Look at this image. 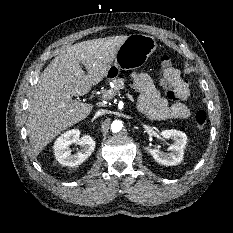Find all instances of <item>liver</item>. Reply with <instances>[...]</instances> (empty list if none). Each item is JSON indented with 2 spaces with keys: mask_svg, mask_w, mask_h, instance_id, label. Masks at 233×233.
Returning a JSON list of instances; mask_svg holds the SVG:
<instances>
[{
  "mask_svg": "<svg viewBox=\"0 0 233 233\" xmlns=\"http://www.w3.org/2000/svg\"><path fill=\"white\" fill-rule=\"evenodd\" d=\"M127 37L76 43L63 49L44 69L28 108L27 132L34 157L61 132L90 114L93 105L74 100L73 96L87 94L92 85L103 80Z\"/></svg>",
  "mask_w": 233,
  "mask_h": 233,
  "instance_id": "liver-1",
  "label": "liver"
}]
</instances>
